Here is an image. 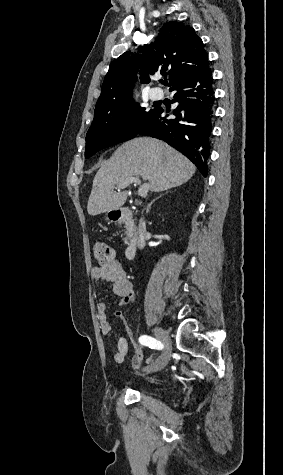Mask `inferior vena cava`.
Returning <instances> with one entry per match:
<instances>
[{
    "label": "inferior vena cava",
    "instance_id": "1",
    "mask_svg": "<svg viewBox=\"0 0 283 475\" xmlns=\"http://www.w3.org/2000/svg\"><path fill=\"white\" fill-rule=\"evenodd\" d=\"M145 239H146V224L145 222H143V220H139L138 241L139 243H142V245H145Z\"/></svg>",
    "mask_w": 283,
    "mask_h": 475
}]
</instances>
